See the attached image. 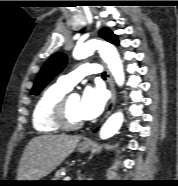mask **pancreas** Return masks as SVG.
Listing matches in <instances>:
<instances>
[{"label": "pancreas", "instance_id": "pancreas-1", "mask_svg": "<svg viewBox=\"0 0 178 186\" xmlns=\"http://www.w3.org/2000/svg\"><path fill=\"white\" fill-rule=\"evenodd\" d=\"M64 169H61V170H59V171H57L56 172V174H55V177H54V181H60L62 178H63V176L61 175V172L63 171Z\"/></svg>", "mask_w": 178, "mask_h": 186}]
</instances>
